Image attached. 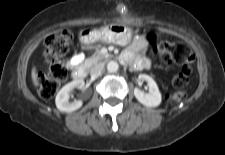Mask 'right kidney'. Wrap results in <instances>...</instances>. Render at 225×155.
Masks as SVG:
<instances>
[{
	"instance_id": "right-kidney-1",
	"label": "right kidney",
	"mask_w": 225,
	"mask_h": 155,
	"mask_svg": "<svg viewBox=\"0 0 225 155\" xmlns=\"http://www.w3.org/2000/svg\"><path fill=\"white\" fill-rule=\"evenodd\" d=\"M84 81L81 79L74 80L66 84L57 94L55 103L57 108L62 112H72L79 109L82 106L81 100H75L69 102V93L74 89H82L84 87Z\"/></svg>"
}]
</instances>
